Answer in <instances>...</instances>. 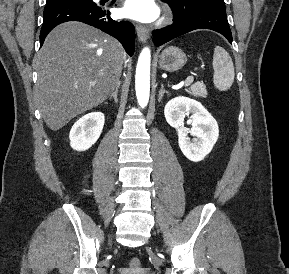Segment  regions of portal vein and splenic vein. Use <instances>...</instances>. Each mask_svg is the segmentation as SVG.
Listing matches in <instances>:
<instances>
[{
	"label": "portal vein and splenic vein",
	"mask_w": 289,
	"mask_h": 274,
	"mask_svg": "<svg viewBox=\"0 0 289 274\" xmlns=\"http://www.w3.org/2000/svg\"><path fill=\"white\" fill-rule=\"evenodd\" d=\"M193 81H194V77H193V76H190V77H188L184 82H181L180 85H181V86H188V85H190Z\"/></svg>",
	"instance_id": "obj_1"
}]
</instances>
